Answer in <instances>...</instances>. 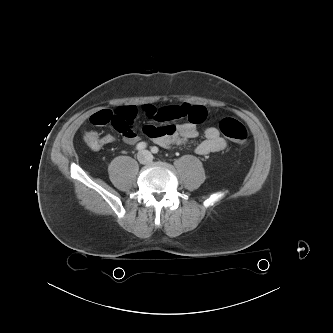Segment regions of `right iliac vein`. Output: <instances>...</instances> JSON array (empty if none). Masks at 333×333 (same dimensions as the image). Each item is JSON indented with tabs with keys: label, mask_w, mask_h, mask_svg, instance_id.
<instances>
[{
	"label": "right iliac vein",
	"mask_w": 333,
	"mask_h": 333,
	"mask_svg": "<svg viewBox=\"0 0 333 333\" xmlns=\"http://www.w3.org/2000/svg\"><path fill=\"white\" fill-rule=\"evenodd\" d=\"M137 159L141 164H145L148 160V156L145 152H139L137 155Z\"/></svg>",
	"instance_id": "63e3f726"
}]
</instances>
